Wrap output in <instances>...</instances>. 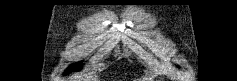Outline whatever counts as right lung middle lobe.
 Returning <instances> with one entry per match:
<instances>
[{"label":"right lung middle lobe","mask_w":237,"mask_h":81,"mask_svg":"<svg viewBox=\"0 0 237 81\" xmlns=\"http://www.w3.org/2000/svg\"><path fill=\"white\" fill-rule=\"evenodd\" d=\"M81 66L79 65V66H72L70 69H67L64 73L65 74H69L71 71H79V70H81Z\"/></svg>","instance_id":"dd1d6c3e"}]
</instances>
